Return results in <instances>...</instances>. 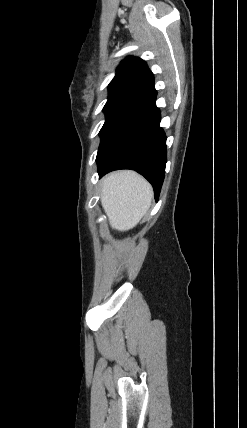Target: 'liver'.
<instances>
[{"instance_id":"obj_1","label":"liver","mask_w":247,"mask_h":428,"mask_svg":"<svg viewBox=\"0 0 247 428\" xmlns=\"http://www.w3.org/2000/svg\"><path fill=\"white\" fill-rule=\"evenodd\" d=\"M152 198L151 185L134 171L112 172L102 180L101 204L112 229L135 227L149 210Z\"/></svg>"}]
</instances>
